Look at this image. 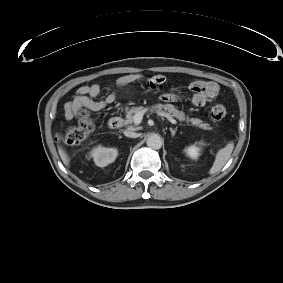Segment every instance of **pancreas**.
<instances>
[{"instance_id":"cf45deb5","label":"pancreas","mask_w":283,"mask_h":283,"mask_svg":"<svg viewBox=\"0 0 283 283\" xmlns=\"http://www.w3.org/2000/svg\"><path fill=\"white\" fill-rule=\"evenodd\" d=\"M143 110H150L159 113L161 116L170 115L172 117L177 118L179 121H185L190 122L193 125H196L199 128L208 130L210 129L209 124L204 123L200 119L195 118H188L185 116V113L183 111H179L174 105L172 104H155L151 107L144 108V107H132L130 110L127 111L126 114V124H130L133 122V116L137 112L143 111Z\"/></svg>"}]
</instances>
